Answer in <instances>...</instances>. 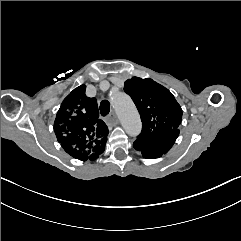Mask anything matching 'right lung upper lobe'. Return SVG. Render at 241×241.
Returning a JSON list of instances; mask_svg holds the SVG:
<instances>
[{
	"instance_id": "cb5924a9",
	"label": "right lung upper lobe",
	"mask_w": 241,
	"mask_h": 241,
	"mask_svg": "<svg viewBox=\"0 0 241 241\" xmlns=\"http://www.w3.org/2000/svg\"><path fill=\"white\" fill-rule=\"evenodd\" d=\"M85 85L75 88L62 102L54 122L58 142L73 158L93 161L105 150L108 127L99 118L95 98L85 95Z\"/></svg>"
}]
</instances>
